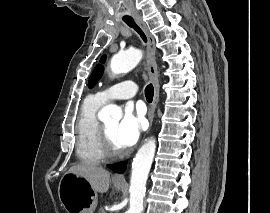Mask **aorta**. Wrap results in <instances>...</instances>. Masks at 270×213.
Here are the masks:
<instances>
[{
	"label": "aorta",
	"mask_w": 270,
	"mask_h": 213,
	"mask_svg": "<svg viewBox=\"0 0 270 213\" xmlns=\"http://www.w3.org/2000/svg\"><path fill=\"white\" fill-rule=\"evenodd\" d=\"M143 53L139 49H129L113 55L110 69L113 75L131 71L142 59ZM99 119L120 120L122 111L119 107L109 104L102 108L98 114ZM156 151V141L150 138L144 142L136 153L132 162L130 179V207L127 213H142L143 200L146 192V182Z\"/></svg>",
	"instance_id": "obj_1"
}]
</instances>
